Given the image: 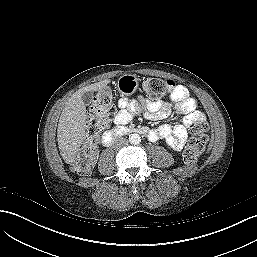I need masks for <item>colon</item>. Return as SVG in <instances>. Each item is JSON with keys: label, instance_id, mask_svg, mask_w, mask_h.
<instances>
[{"label": "colon", "instance_id": "5ec220e1", "mask_svg": "<svg viewBox=\"0 0 257 257\" xmlns=\"http://www.w3.org/2000/svg\"><path fill=\"white\" fill-rule=\"evenodd\" d=\"M172 80L161 78H148L144 82L146 95L152 101L164 97L173 87ZM115 97L111 89L105 88L99 91L91 103V112L87 122L86 138L80 149L73 168L79 174H86L90 171L92 157L94 155L99 136L108 126L114 115ZM208 124L203 119L196 122L192 127L194 137L183 153L184 161L187 164H194L203 154L207 144Z\"/></svg>", "mask_w": 257, "mask_h": 257}]
</instances>
